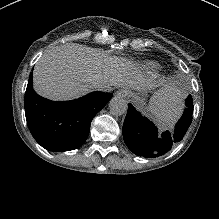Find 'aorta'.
<instances>
[{"mask_svg":"<svg viewBox=\"0 0 219 219\" xmlns=\"http://www.w3.org/2000/svg\"><path fill=\"white\" fill-rule=\"evenodd\" d=\"M127 109V103L122 98L113 97L109 102V111L113 116H122L126 114Z\"/></svg>","mask_w":219,"mask_h":219,"instance_id":"aorta-1","label":"aorta"}]
</instances>
